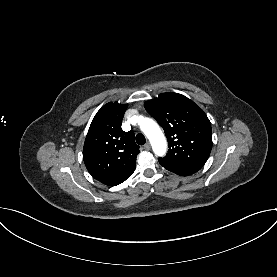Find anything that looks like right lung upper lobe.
I'll return each instance as SVG.
<instances>
[{"label":"right lung upper lobe","instance_id":"obj_1","mask_svg":"<svg viewBox=\"0 0 277 277\" xmlns=\"http://www.w3.org/2000/svg\"><path fill=\"white\" fill-rule=\"evenodd\" d=\"M127 104L109 102L95 115L88 130L83 160L89 173L101 183L116 186L124 182L136 168L134 133L121 128Z\"/></svg>","mask_w":277,"mask_h":277}]
</instances>
